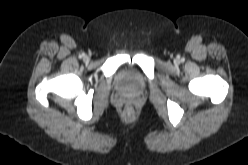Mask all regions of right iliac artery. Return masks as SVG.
Here are the masks:
<instances>
[{
    "label": "right iliac artery",
    "mask_w": 248,
    "mask_h": 165,
    "mask_svg": "<svg viewBox=\"0 0 248 165\" xmlns=\"http://www.w3.org/2000/svg\"><path fill=\"white\" fill-rule=\"evenodd\" d=\"M84 56H85V54H81L79 57L82 58V57H84Z\"/></svg>",
    "instance_id": "1"
}]
</instances>
